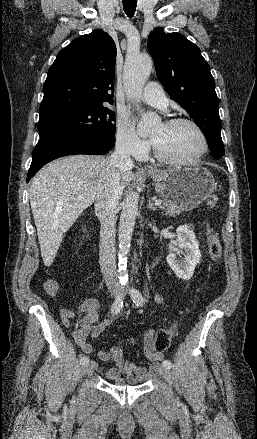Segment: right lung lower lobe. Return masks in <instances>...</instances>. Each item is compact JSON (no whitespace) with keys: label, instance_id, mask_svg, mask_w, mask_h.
Here are the masks:
<instances>
[{"label":"right lung lower lobe","instance_id":"1","mask_svg":"<svg viewBox=\"0 0 257 439\" xmlns=\"http://www.w3.org/2000/svg\"><path fill=\"white\" fill-rule=\"evenodd\" d=\"M114 143V141L96 135L71 131L44 136L40 138L33 152L27 182L42 166L56 158L73 154H105L114 146Z\"/></svg>","mask_w":257,"mask_h":439}]
</instances>
